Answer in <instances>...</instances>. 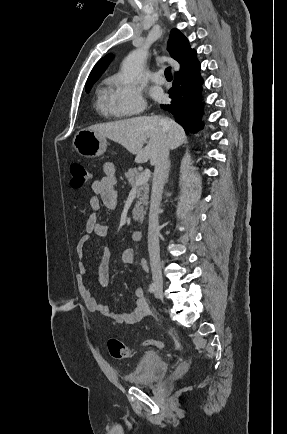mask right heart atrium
Wrapping results in <instances>:
<instances>
[{"mask_svg": "<svg viewBox=\"0 0 287 434\" xmlns=\"http://www.w3.org/2000/svg\"><path fill=\"white\" fill-rule=\"evenodd\" d=\"M110 103L113 110L120 116L139 114L146 108L142 89L122 76L111 79Z\"/></svg>", "mask_w": 287, "mask_h": 434, "instance_id": "1", "label": "right heart atrium"}]
</instances>
